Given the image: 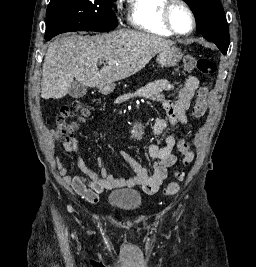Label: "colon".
I'll list each match as a JSON object with an SVG mask.
<instances>
[{"instance_id":"5ec220e1","label":"colon","mask_w":256,"mask_h":267,"mask_svg":"<svg viewBox=\"0 0 256 267\" xmlns=\"http://www.w3.org/2000/svg\"><path fill=\"white\" fill-rule=\"evenodd\" d=\"M183 64L188 71H197L205 76H213L216 72V64L209 57H193L187 56L183 60ZM210 85L205 84L197 89L195 94L192 116L194 119H200L204 115L207 107V93ZM91 105L85 102H77L73 109L62 108L57 118L56 132L59 139H72L76 129V123L70 120L72 117H82L89 113ZM182 151V160L175 170V179L163 189V193L172 196L179 191L180 182L183 180L184 170L191 164L193 160V152L189 148L184 137L179 142Z\"/></svg>"}]
</instances>
